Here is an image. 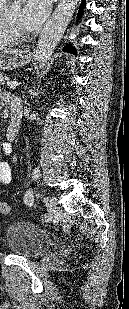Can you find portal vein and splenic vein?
Here are the masks:
<instances>
[{"mask_svg":"<svg viewBox=\"0 0 129 309\" xmlns=\"http://www.w3.org/2000/svg\"><path fill=\"white\" fill-rule=\"evenodd\" d=\"M7 85H8L9 87H12V86H14V83H13V82H7Z\"/></svg>","mask_w":129,"mask_h":309,"instance_id":"1","label":"portal vein and splenic vein"}]
</instances>
